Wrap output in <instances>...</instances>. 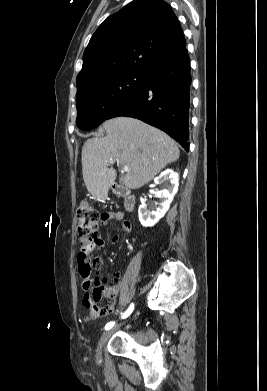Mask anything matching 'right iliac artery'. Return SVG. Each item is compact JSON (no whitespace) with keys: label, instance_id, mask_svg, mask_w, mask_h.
Masks as SVG:
<instances>
[{"label":"right iliac artery","instance_id":"82829eb1","mask_svg":"<svg viewBox=\"0 0 267 391\" xmlns=\"http://www.w3.org/2000/svg\"><path fill=\"white\" fill-rule=\"evenodd\" d=\"M133 309H134V304L132 303L130 305V307L128 308V310L122 315V318L128 317L131 314V312L133 311ZM114 324H115V322H109L108 324H106L105 330L111 329L114 326Z\"/></svg>","mask_w":267,"mask_h":391}]
</instances>
